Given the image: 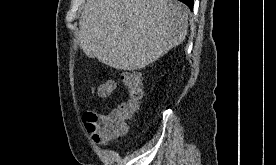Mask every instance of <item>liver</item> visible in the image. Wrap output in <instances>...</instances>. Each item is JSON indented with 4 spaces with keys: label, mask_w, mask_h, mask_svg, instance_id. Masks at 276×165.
Returning <instances> with one entry per match:
<instances>
[{
    "label": "liver",
    "mask_w": 276,
    "mask_h": 165,
    "mask_svg": "<svg viewBox=\"0 0 276 165\" xmlns=\"http://www.w3.org/2000/svg\"><path fill=\"white\" fill-rule=\"evenodd\" d=\"M188 14L176 0H87L79 20L80 47L115 69H142L184 41Z\"/></svg>",
    "instance_id": "1"
}]
</instances>
